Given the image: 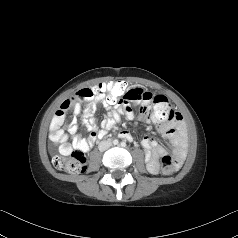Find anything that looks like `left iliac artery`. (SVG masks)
I'll return each mask as SVG.
<instances>
[{"label": "left iliac artery", "mask_w": 238, "mask_h": 238, "mask_svg": "<svg viewBox=\"0 0 238 238\" xmlns=\"http://www.w3.org/2000/svg\"><path fill=\"white\" fill-rule=\"evenodd\" d=\"M121 146H122V147H125V146H126V143H125V142H121Z\"/></svg>", "instance_id": "1"}]
</instances>
